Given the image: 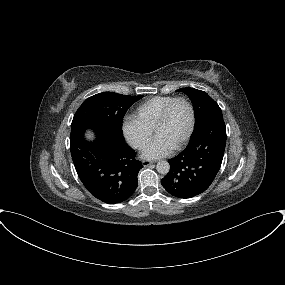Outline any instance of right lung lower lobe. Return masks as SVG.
Segmentation results:
<instances>
[{"instance_id": "right-lung-lower-lobe-1", "label": "right lung lower lobe", "mask_w": 285, "mask_h": 285, "mask_svg": "<svg viewBox=\"0 0 285 285\" xmlns=\"http://www.w3.org/2000/svg\"><path fill=\"white\" fill-rule=\"evenodd\" d=\"M86 127L71 128L70 150L77 174L97 199L115 204L127 200L138 186L143 167L135 152L112 134L94 130L93 142L84 139Z\"/></svg>"}]
</instances>
